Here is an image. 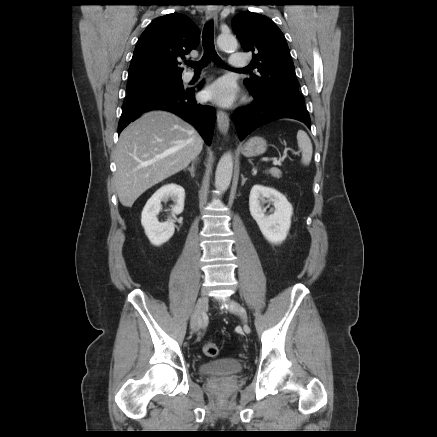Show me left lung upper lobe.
<instances>
[{
  "mask_svg": "<svg viewBox=\"0 0 437 437\" xmlns=\"http://www.w3.org/2000/svg\"><path fill=\"white\" fill-rule=\"evenodd\" d=\"M233 30L245 52L252 53L251 73L244 80L253 97L281 98L303 103L286 39L268 17L244 11L232 20Z\"/></svg>",
  "mask_w": 437,
  "mask_h": 437,
  "instance_id": "obj_1",
  "label": "left lung upper lobe"
}]
</instances>
